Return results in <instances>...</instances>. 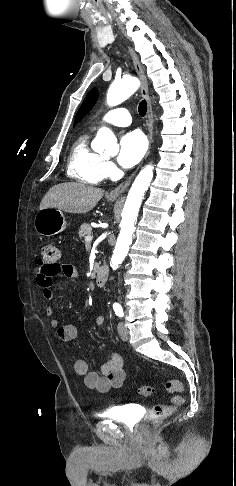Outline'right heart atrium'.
<instances>
[{"label": "right heart atrium", "mask_w": 236, "mask_h": 486, "mask_svg": "<svg viewBox=\"0 0 236 486\" xmlns=\"http://www.w3.org/2000/svg\"><path fill=\"white\" fill-rule=\"evenodd\" d=\"M103 172H104L105 177L112 176L115 172L114 164L110 161H104Z\"/></svg>", "instance_id": "1"}]
</instances>
